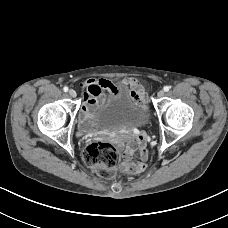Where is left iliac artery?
<instances>
[{
  "label": "left iliac artery",
  "mask_w": 228,
  "mask_h": 228,
  "mask_svg": "<svg viewBox=\"0 0 228 228\" xmlns=\"http://www.w3.org/2000/svg\"><path fill=\"white\" fill-rule=\"evenodd\" d=\"M163 89H164L165 92H167V91H169L170 87L169 86H164Z\"/></svg>",
  "instance_id": "44dca946"
}]
</instances>
